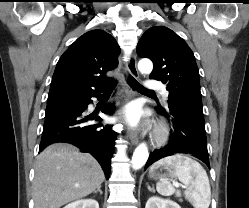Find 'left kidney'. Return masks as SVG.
I'll list each match as a JSON object with an SVG mask.
<instances>
[{
    "instance_id": "left-kidney-1",
    "label": "left kidney",
    "mask_w": 249,
    "mask_h": 208,
    "mask_svg": "<svg viewBox=\"0 0 249 208\" xmlns=\"http://www.w3.org/2000/svg\"><path fill=\"white\" fill-rule=\"evenodd\" d=\"M145 208H181L176 202L159 197H150Z\"/></svg>"
}]
</instances>
